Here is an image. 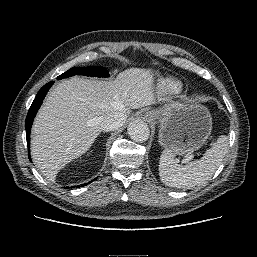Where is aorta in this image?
I'll use <instances>...</instances> for the list:
<instances>
[{
    "label": "aorta",
    "mask_w": 257,
    "mask_h": 257,
    "mask_svg": "<svg viewBox=\"0 0 257 257\" xmlns=\"http://www.w3.org/2000/svg\"><path fill=\"white\" fill-rule=\"evenodd\" d=\"M127 131L130 138L136 142H144L150 135L148 125L139 119L132 120L128 125Z\"/></svg>",
    "instance_id": "762f6f07"
}]
</instances>
